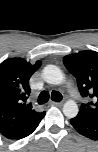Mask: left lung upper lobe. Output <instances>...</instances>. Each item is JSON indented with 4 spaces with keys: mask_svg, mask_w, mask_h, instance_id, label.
<instances>
[{
    "mask_svg": "<svg viewBox=\"0 0 98 152\" xmlns=\"http://www.w3.org/2000/svg\"><path fill=\"white\" fill-rule=\"evenodd\" d=\"M68 71L77 79L82 97L90 101L81 104L77 117L98 123V53L82 51L63 58Z\"/></svg>",
    "mask_w": 98,
    "mask_h": 152,
    "instance_id": "left-lung-upper-lobe-1",
    "label": "left lung upper lobe"
}]
</instances>
